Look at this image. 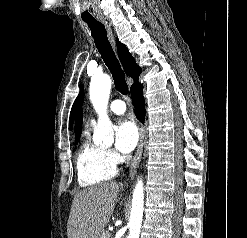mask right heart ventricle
Listing matches in <instances>:
<instances>
[{"label": "right heart ventricle", "instance_id": "1", "mask_svg": "<svg viewBox=\"0 0 247 238\" xmlns=\"http://www.w3.org/2000/svg\"><path fill=\"white\" fill-rule=\"evenodd\" d=\"M76 169L78 182L83 187L101 184L117 173L107 151L91 142L88 130L76 156Z\"/></svg>", "mask_w": 247, "mask_h": 238}]
</instances>
